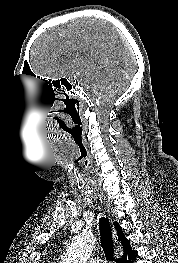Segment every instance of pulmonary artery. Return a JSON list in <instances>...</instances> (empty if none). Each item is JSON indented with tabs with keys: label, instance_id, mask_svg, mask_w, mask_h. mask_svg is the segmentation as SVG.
<instances>
[{
	"label": "pulmonary artery",
	"instance_id": "obj_1",
	"mask_svg": "<svg viewBox=\"0 0 178 263\" xmlns=\"http://www.w3.org/2000/svg\"><path fill=\"white\" fill-rule=\"evenodd\" d=\"M89 263H103V260L101 258H92L90 259Z\"/></svg>",
	"mask_w": 178,
	"mask_h": 263
}]
</instances>
